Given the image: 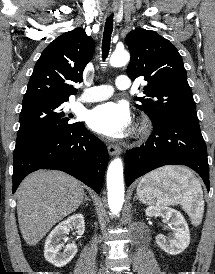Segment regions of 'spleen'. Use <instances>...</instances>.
<instances>
[{
	"label": "spleen",
	"mask_w": 215,
	"mask_h": 274,
	"mask_svg": "<svg viewBox=\"0 0 215 274\" xmlns=\"http://www.w3.org/2000/svg\"><path fill=\"white\" fill-rule=\"evenodd\" d=\"M148 204L156 206L178 205L193 218L204 210L203 191L199 180L183 167H163L145 175L138 187Z\"/></svg>",
	"instance_id": "obj_1"
}]
</instances>
